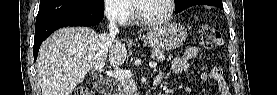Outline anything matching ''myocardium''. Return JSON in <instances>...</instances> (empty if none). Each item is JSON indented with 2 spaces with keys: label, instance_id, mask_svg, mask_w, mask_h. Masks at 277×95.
<instances>
[{
  "label": "myocardium",
  "instance_id": "myocardium-1",
  "mask_svg": "<svg viewBox=\"0 0 277 95\" xmlns=\"http://www.w3.org/2000/svg\"><path fill=\"white\" fill-rule=\"evenodd\" d=\"M140 1L141 0H132V5H133V12H134L136 20L143 25L155 26V25L164 24L171 19L174 9H175V1L174 0H166V2L168 4L167 14L161 18L148 19V18L143 17L139 12V2Z\"/></svg>",
  "mask_w": 277,
  "mask_h": 95
}]
</instances>
